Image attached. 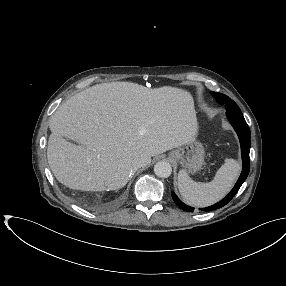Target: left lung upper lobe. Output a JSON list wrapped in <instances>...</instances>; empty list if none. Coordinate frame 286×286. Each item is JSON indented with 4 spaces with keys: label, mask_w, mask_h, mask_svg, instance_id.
Wrapping results in <instances>:
<instances>
[{
    "label": "left lung upper lobe",
    "mask_w": 286,
    "mask_h": 286,
    "mask_svg": "<svg viewBox=\"0 0 286 286\" xmlns=\"http://www.w3.org/2000/svg\"><path fill=\"white\" fill-rule=\"evenodd\" d=\"M211 94L217 100L219 104L226 106V112L241 113L238 105L225 94L216 93V92H211Z\"/></svg>",
    "instance_id": "1"
}]
</instances>
